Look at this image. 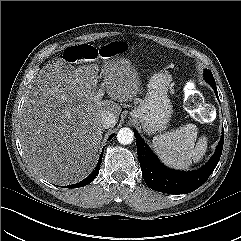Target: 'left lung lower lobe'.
<instances>
[{
	"label": "left lung lower lobe",
	"instance_id": "0a47b994",
	"mask_svg": "<svg viewBox=\"0 0 241 241\" xmlns=\"http://www.w3.org/2000/svg\"><path fill=\"white\" fill-rule=\"evenodd\" d=\"M209 85L218 98L216 84L210 83ZM134 134L142 177L151 189L168 194H186L199 188L218 164L224 143V133H222L216 151L208 163L198 170L184 172L166 168L144 143L136 130H134Z\"/></svg>",
	"mask_w": 241,
	"mask_h": 241
}]
</instances>
